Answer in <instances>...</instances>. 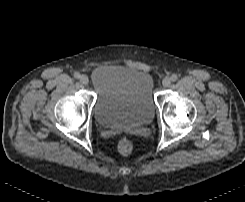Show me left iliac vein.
<instances>
[{
    "label": "left iliac vein",
    "instance_id": "obj_1",
    "mask_svg": "<svg viewBox=\"0 0 245 202\" xmlns=\"http://www.w3.org/2000/svg\"><path fill=\"white\" fill-rule=\"evenodd\" d=\"M171 84V79L169 77H165L163 80H162V85L164 87H168L169 85Z\"/></svg>",
    "mask_w": 245,
    "mask_h": 202
}]
</instances>
